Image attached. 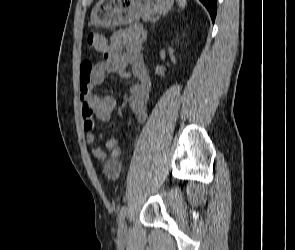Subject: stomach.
I'll use <instances>...</instances> for the list:
<instances>
[{
	"instance_id": "1",
	"label": "stomach",
	"mask_w": 295,
	"mask_h": 250,
	"mask_svg": "<svg viewBox=\"0 0 295 250\" xmlns=\"http://www.w3.org/2000/svg\"><path fill=\"white\" fill-rule=\"evenodd\" d=\"M174 0H100L92 9L91 24L112 27L137 21L141 17L167 13Z\"/></svg>"
}]
</instances>
